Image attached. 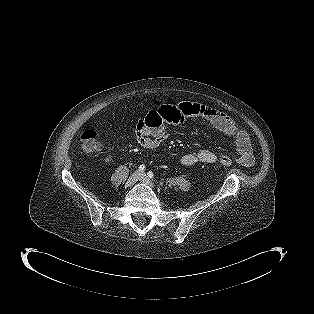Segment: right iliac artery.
Returning <instances> with one entry per match:
<instances>
[{"instance_id": "82829eb1", "label": "right iliac artery", "mask_w": 314, "mask_h": 314, "mask_svg": "<svg viewBox=\"0 0 314 314\" xmlns=\"http://www.w3.org/2000/svg\"><path fill=\"white\" fill-rule=\"evenodd\" d=\"M144 170H145V165H143V164L140 165V166H139V171H144Z\"/></svg>"}]
</instances>
